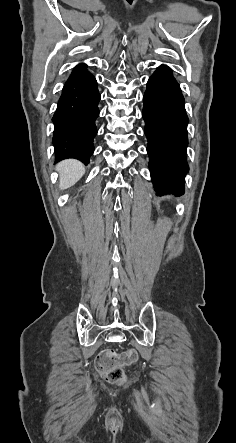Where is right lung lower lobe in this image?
<instances>
[{
	"mask_svg": "<svg viewBox=\"0 0 236 443\" xmlns=\"http://www.w3.org/2000/svg\"><path fill=\"white\" fill-rule=\"evenodd\" d=\"M86 67L80 64L73 69L52 118L57 161L75 158L87 165L94 152L93 138L97 134L95 120L99 116L100 94L96 79Z\"/></svg>",
	"mask_w": 236,
	"mask_h": 443,
	"instance_id": "1",
	"label": "right lung lower lobe"
}]
</instances>
